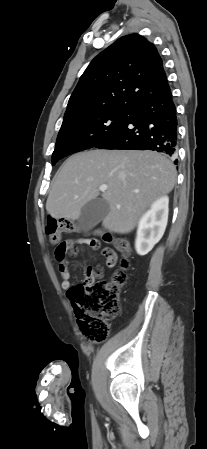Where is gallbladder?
Here are the masks:
<instances>
[{
  "mask_svg": "<svg viewBox=\"0 0 207 449\" xmlns=\"http://www.w3.org/2000/svg\"><path fill=\"white\" fill-rule=\"evenodd\" d=\"M109 212V204L102 198L87 202L81 210L78 223L81 229L90 230L102 221Z\"/></svg>",
  "mask_w": 207,
  "mask_h": 449,
  "instance_id": "obj_1",
  "label": "gallbladder"
}]
</instances>
